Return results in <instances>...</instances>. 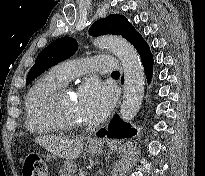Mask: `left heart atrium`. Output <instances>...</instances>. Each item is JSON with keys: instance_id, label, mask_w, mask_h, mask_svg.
I'll list each match as a JSON object with an SVG mask.
<instances>
[{"instance_id": "left-heart-atrium-1", "label": "left heart atrium", "mask_w": 205, "mask_h": 176, "mask_svg": "<svg viewBox=\"0 0 205 176\" xmlns=\"http://www.w3.org/2000/svg\"><path fill=\"white\" fill-rule=\"evenodd\" d=\"M78 108L86 121L98 122L109 112L113 92L96 79L85 81L76 93Z\"/></svg>"}]
</instances>
